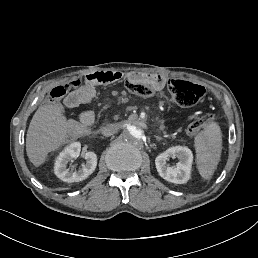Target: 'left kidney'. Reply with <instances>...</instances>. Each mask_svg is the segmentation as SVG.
<instances>
[{
	"label": "left kidney",
	"instance_id": "left-kidney-1",
	"mask_svg": "<svg viewBox=\"0 0 258 258\" xmlns=\"http://www.w3.org/2000/svg\"><path fill=\"white\" fill-rule=\"evenodd\" d=\"M169 157H177L180 160L176 167L166 165V160ZM192 162V151L185 146L170 147L155 159V165L159 175L163 179L176 184H184L190 179Z\"/></svg>",
	"mask_w": 258,
	"mask_h": 258
}]
</instances>
